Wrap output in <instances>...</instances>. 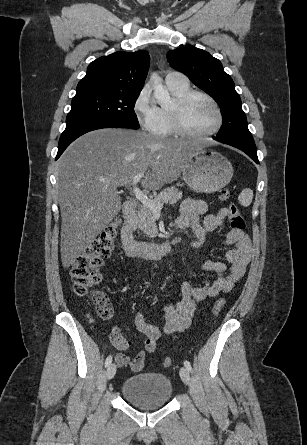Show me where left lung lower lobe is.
<instances>
[{"instance_id":"1","label":"left lung lower lobe","mask_w":307,"mask_h":445,"mask_svg":"<svg viewBox=\"0 0 307 445\" xmlns=\"http://www.w3.org/2000/svg\"><path fill=\"white\" fill-rule=\"evenodd\" d=\"M214 139L242 150L256 163H259L257 157V149L254 140L237 139V138H214Z\"/></svg>"}]
</instances>
